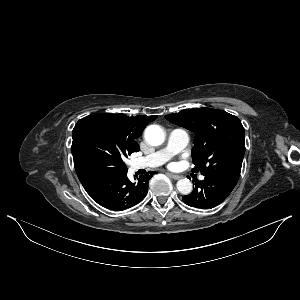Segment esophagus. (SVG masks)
<instances>
[{"label":"esophagus","mask_w":300,"mask_h":300,"mask_svg":"<svg viewBox=\"0 0 300 300\" xmlns=\"http://www.w3.org/2000/svg\"><path fill=\"white\" fill-rule=\"evenodd\" d=\"M168 175H169L172 179H174V180H179V179L182 178V176L177 175V174L169 173Z\"/></svg>","instance_id":"esophagus-1"}]
</instances>
